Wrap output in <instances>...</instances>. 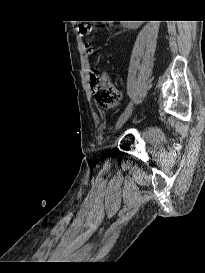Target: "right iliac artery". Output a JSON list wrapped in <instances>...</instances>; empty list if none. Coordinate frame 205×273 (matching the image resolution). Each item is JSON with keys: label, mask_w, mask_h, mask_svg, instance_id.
Returning <instances> with one entry per match:
<instances>
[{"label": "right iliac artery", "mask_w": 205, "mask_h": 273, "mask_svg": "<svg viewBox=\"0 0 205 273\" xmlns=\"http://www.w3.org/2000/svg\"><path fill=\"white\" fill-rule=\"evenodd\" d=\"M130 108H132V102H130V103L128 104V106L126 107L125 111L129 110Z\"/></svg>", "instance_id": "1"}]
</instances>
